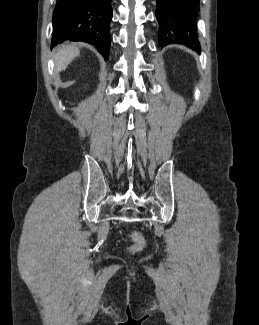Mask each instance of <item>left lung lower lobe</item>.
Here are the masks:
<instances>
[{
    "instance_id": "obj_1",
    "label": "left lung lower lobe",
    "mask_w": 259,
    "mask_h": 325,
    "mask_svg": "<svg viewBox=\"0 0 259 325\" xmlns=\"http://www.w3.org/2000/svg\"><path fill=\"white\" fill-rule=\"evenodd\" d=\"M159 43H181L199 50L197 17L199 0H156Z\"/></svg>"
}]
</instances>
